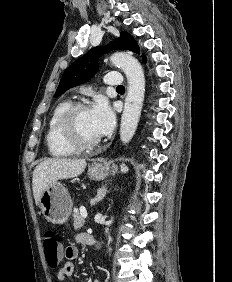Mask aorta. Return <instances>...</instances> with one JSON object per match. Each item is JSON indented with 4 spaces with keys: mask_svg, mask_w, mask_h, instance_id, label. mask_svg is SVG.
<instances>
[{
    "mask_svg": "<svg viewBox=\"0 0 232 282\" xmlns=\"http://www.w3.org/2000/svg\"><path fill=\"white\" fill-rule=\"evenodd\" d=\"M110 61L123 70L128 82L120 125V140L126 144L133 138L139 122L145 92L144 72L138 60L128 53H114Z\"/></svg>",
    "mask_w": 232,
    "mask_h": 282,
    "instance_id": "762f6f07",
    "label": "aorta"
}]
</instances>
